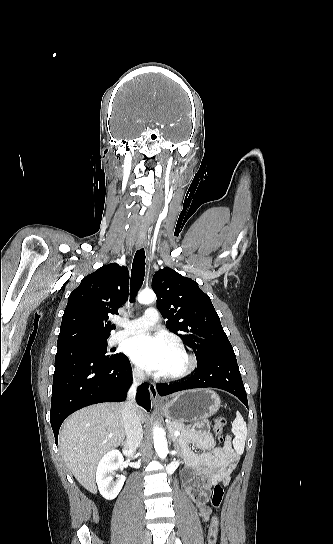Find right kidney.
<instances>
[{
    "mask_svg": "<svg viewBox=\"0 0 333 544\" xmlns=\"http://www.w3.org/2000/svg\"><path fill=\"white\" fill-rule=\"evenodd\" d=\"M123 455H130L129 450L124 449ZM118 450L109 451L98 463L96 471V482L100 494L107 500H113L121 491L125 482L124 475H117V481H113L112 474L117 469L123 468V455Z\"/></svg>",
    "mask_w": 333,
    "mask_h": 544,
    "instance_id": "right-kidney-1",
    "label": "right kidney"
}]
</instances>
